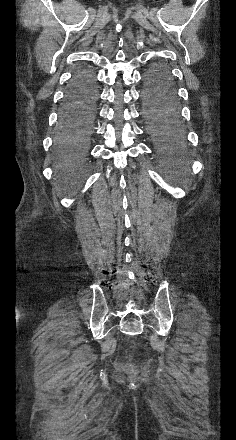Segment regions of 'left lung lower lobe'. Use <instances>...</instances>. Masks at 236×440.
<instances>
[{
    "label": "left lung lower lobe",
    "instance_id": "left-lung-lower-lobe-1",
    "mask_svg": "<svg viewBox=\"0 0 236 440\" xmlns=\"http://www.w3.org/2000/svg\"><path fill=\"white\" fill-rule=\"evenodd\" d=\"M143 116L147 132L163 143H173L181 137L177 88L167 66L155 63L145 77Z\"/></svg>",
    "mask_w": 236,
    "mask_h": 440
}]
</instances>
